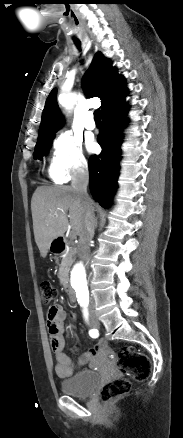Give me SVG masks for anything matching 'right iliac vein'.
Wrapping results in <instances>:
<instances>
[{
  "label": "right iliac vein",
  "instance_id": "1",
  "mask_svg": "<svg viewBox=\"0 0 183 438\" xmlns=\"http://www.w3.org/2000/svg\"><path fill=\"white\" fill-rule=\"evenodd\" d=\"M96 324H97V320H96V319H92V321H91V325L95 327Z\"/></svg>",
  "mask_w": 183,
  "mask_h": 438
}]
</instances>
